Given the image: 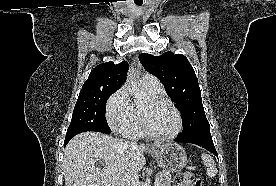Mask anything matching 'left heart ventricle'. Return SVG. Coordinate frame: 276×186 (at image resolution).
I'll return each mask as SVG.
<instances>
[{
	"instance_id": "left-heart-ventricle-1",
	"label": "left heart ventricle",
	"mask_w": 276,
	"mask_h": 186,
	"mask_svg": "<svg viewBox=\"0 0 276 186\" xmlns=\"http://www.w3.org/2000/svg\"><path fill=\"white\" fill-rule=\"evenodd\" d=\"M143 110L146 113L148 124L154 133L169 135L177 129V115L169 106L153 105L149 102L143 107Z\"/></svg>"
}]
</instances>
